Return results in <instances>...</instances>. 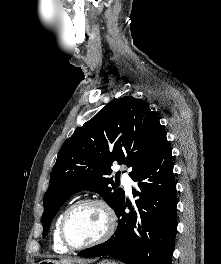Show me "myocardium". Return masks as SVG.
<instances>
[{"label":"myocardium","mask_w":221,"mask_h":264,"mask_svg":"<svg viewBox=\"0 0 221 264\" xmlns=\"http://www.w3.org/2000/svg\"><path fill=\"white\" fill-rule=\"evenodd\" d=\"M82 205L98 206L105 214L107 225H106V230L103 233V235L99 237L98 239H96L95 241H92L87 244H82V245H74L69 241L67 237L66 225H67L68 217L72 213V211ZM116 226H117V217H116L115 211L110 206V204L101 198L88 197V198H84V199L76 201L64 211L61 217L60 225H59V236H60L62 244L69 250H84V249L98 246L106 242L114 234L116 230Z\"/></svg>","instance_id":"obj_1"}]
</instances>
